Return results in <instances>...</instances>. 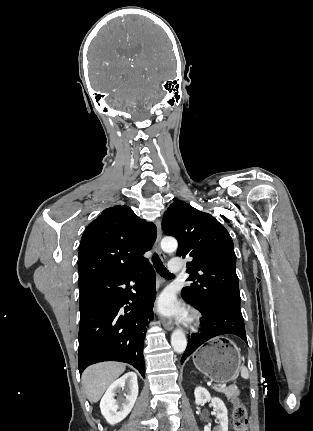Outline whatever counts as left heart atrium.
<instances>
[{
	"mask_svg": "<svg viewBox=\"0 0 313 431\" xmlns=\"http://www.w3.org/2000/svg\"><path fill=\"white\" fill-rule=\"evenodd\" d=\"M157 309L161 314L168 317H175L178 319H185L187 317L185 309L178 305L174 296L170 293H164L159 298Z\"/></svg>",
	"mask_w": 313,
	"mask_h": 431,
	"instance_id": "39dd6f15",
	"label": "left heart atrium"
}]
</instances>
